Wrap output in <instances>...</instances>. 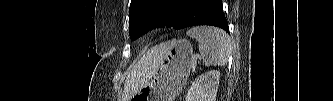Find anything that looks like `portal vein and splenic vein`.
I'll return each mask as SVG.
<instances>
[{
    "mask_svg": "<svg viewBox=\"0 0 333 101\" xmlns=\"http://www.w3.org/2000/svg\"><path fill=\"white\" fill-rule=\"evenodd\" d=\"M199 58V56L194 57L193 59V63H192V69L195 70L196 69V65H197V59Z\"/></svg>",
    "mask_w": 333,
    "mask_h": 101,
    "instance_id": "portal-vein-and-splenic-vein-1",
    "label": "portal vein and splenic vein"
}]
</instances>
